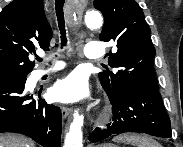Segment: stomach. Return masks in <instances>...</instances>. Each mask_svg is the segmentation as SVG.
I'll use <instances>...</instances> for the list:
<instances>
[{"label":"stomach","mask_w":183,"mask_h":147,"mask_svg":"<svg viewBox=\"0 0 183 147\" xmlns=\"http://www.w3.org/2000/svg\"><path fill=\"white\" fill-rule=\"evenodd\" d=\"M99 147H116V146L110 143H106V144L100 145Z\"/></svg>","instance_id":"obj_1"}]
</instances>
